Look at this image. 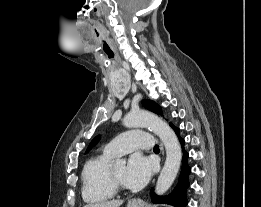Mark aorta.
<instances>
[{"instance_id": "aorta-1", "label": "aorta", "mask_w": 261, "mask_h": 207, "mask_svg": "<svg viewBox=\"0 0 261 207\" xmlns=\"http://www.w3.org/2000/svg\"><path fill=\"white\" fill-rule=\"evenodd\" d=\"M123 125L128 128L148 127L163 142L166 161L156 183L155 192L158 195L164 194L173 184L181 165L182 151L176 134L167 123L146 110L128 113L123 119Z\"/></svg>"}]
</instances>
